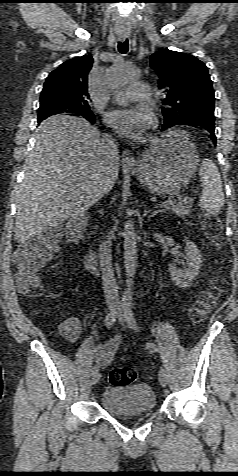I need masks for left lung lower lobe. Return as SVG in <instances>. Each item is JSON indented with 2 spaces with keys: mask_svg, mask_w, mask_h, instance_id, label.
Here are the masks:
<instances>
[{
  "mask_svg": "<svg viewBox=\"0 0 238 476\" xmlns=\"http://www.w3.org/2000/svg\"><path fill=\"white\" fill-rule=\"evenodd\" d=\"M186 125H193V126H200V127H203L205 128L206 130H208L210 133H211V140L212 142L214 143V145H216V136L214 134V129H215V126H214V121H210V120H195V121H192V122H189V123H185ZM179 125V124H177ZM172 126H175V125H170V126H163L162 127V130L164 129H167V128H170Z\"/></svg>",
  "mask_w": 238,
  "mask_h": 476,
  "instance_id": "obj_1",
  "label": "left lung lower lobe"
}]
</instances>
